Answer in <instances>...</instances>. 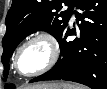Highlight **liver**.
I'll list each match as a JSON object with an SVG mask.
<instances>
[{
	"label": "liver",
	"mask_w": 107,
	"mask_h": 89,
	"mask_svg": "<svg viewBox=\"0 0 107 89\" xmlns=\"http://www.w3.org/2000/svg\"><path fill=\"white\" fill-rule=\"evenodd\" d=\"M60 86L61 85H58V84H37L34 86H29L28 89H31V88L43 89L42 87H50V89H56V88H59Z\"/></svg>",
	"instance_id": "obj_1"
}]
</instances>
